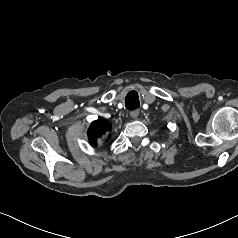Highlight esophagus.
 Returning <instances> with one entry per match:
<instances>
[{
  "label": "esophagus",
  "mask_w": 238,
  "mask_h": 238,
  "mask_svg": "<svg viewBox=\"0 0 238 238\" xmlns=\"http://www.w3.org/2000/svg\"><path fill=\"white\" fill-rule=\"evenodd\" d=\"M139 113H140V111L138 109H136V110H133V111L130 112V116L133 119H136L139 116Z\"/></svg>",
  "instance_id": "obj_1"
}]
</instances>
